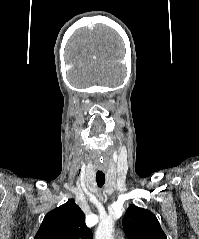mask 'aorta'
I'll list each match as a JSON object with an SVG mask.
<instances>
[{"mask_svg":"<svg viewBox=\"0 0 199 239\" xmlns=\"http://www.w3.org/2000/svg\"><path fill=\"white\" fill-rule=\"evenodd\" d=\"M114 221L111 216L102 219L95 232V239H113Z\"/></svg>","mask_w":199,"mask_h":239,"instance_id":"762f6f07","label":"aorta"}]
</instances>
